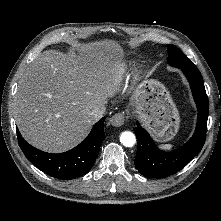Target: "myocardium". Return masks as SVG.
Listing matches in <instances>:
<instances>
[{
	"mask_svg": "<svg viewBox=\"0 0 221 221\" xmlns=\"http://www.w3.org/2000/svg\"><path fill=\"white\" fill-rule=\"evenodd\" d=\"M139 75H140V70H138V71L136 72V77H139Z\"/></svg>",
	"mask_w": 221,
	"mask_h": 221,
	"instance_id": "obj_1",
	"label": "myocardium"
}]
</instances>
